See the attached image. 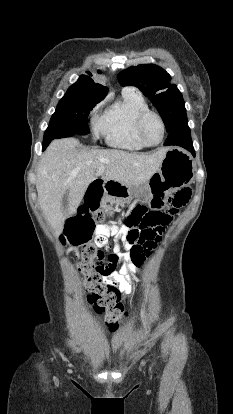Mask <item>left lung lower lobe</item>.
Segmentation results:
<instances>
[{
  "mask_svg": "<svg viewBox=\"0 0 233 414\" xmlns=\"http://www.w3.org/2000/svg\"><path fill=\"white\" fill-rule=\"evenodd\" d=\"M169 136L164 145H176L181 146L188 151H190L193 155H195V151L193 148L191 135H190V128L188 126L187 116L181 117L171 128L169 131Z\"/></svg>",
  "mask_w": 233,
  "mask_h": 414,
  "instance_id": "obj_1",
  "label": "left lung lower lobe"
}]
</instances>
